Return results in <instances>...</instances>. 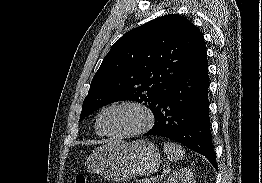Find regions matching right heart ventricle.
Here are the masks:
<instances>
[{
	"instance_id": "e07e8e85",
	"label": "right heart ventricle",
	"mask_w": 262,
	"mask_h": 183,
	"mask_svg": "<svg viewBox=\"0 0 262 183\" xmlns=\"http://www.w3.org/2000/svg\"><path fill=\"white\" fill-rule=\"evenodd\" d=\"M96 132H97V134H98V135H100V133L98 132V130H97V129H96Z\"/></svg>"
}]
</instances>
